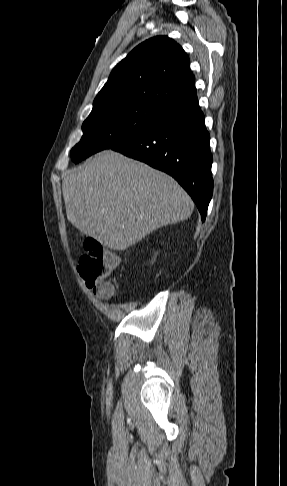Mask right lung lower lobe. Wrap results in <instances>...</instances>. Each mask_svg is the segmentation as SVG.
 Listing matches in <instances>:
<instances>
[{
    "instance_id": "obj_1",
    "label": "right lung lower lobe",
    "mask_w": 287,
    "mask_h": 486,
    "mask_svg": "<svg viewBox=\"0 0 287 486\" xmlns=\"http://www.w3.org/2000/svg\"><path fill=\"white\" fill-rule=\"evenodd\" d=\"M209 140L196 98L169 110L141 134L111 149L174 177L204 221L213 192Z\"/></svg>"
}]
</instances>
